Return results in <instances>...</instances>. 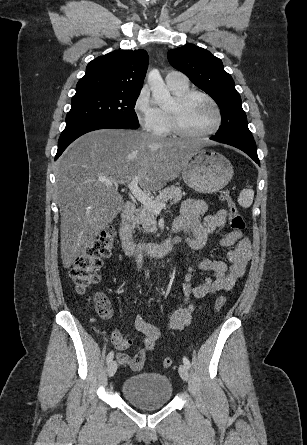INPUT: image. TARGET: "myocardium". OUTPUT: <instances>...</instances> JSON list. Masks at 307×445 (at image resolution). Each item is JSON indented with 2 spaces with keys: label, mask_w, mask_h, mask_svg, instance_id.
I'll list each match as a JSON object with an SVG mask.
<instances>
[{
  "label": "myocardium",
  "mask_w": 307,
  "mask_h": 445,
  "mask_svg": "<svg viewBox=\"0 0 307 445\" xmlns=\"http://www.w3.org/2000/svg\"><path fill=\"white\" fill-rule=\"evenodd\" d=\"M193 98L206 100L215 108L217 112V123L212 129L205 132H193L184 126L181 119V111ZM165 112L171 131L180 136L174 137L173 139H203L217 133L224 124V112L220 104L210 95L198 90H188L184 94L173 96L171 105L170 107H166Z\"/></svg>",
  "instance_id": "obj_1"
}]
</instances>
